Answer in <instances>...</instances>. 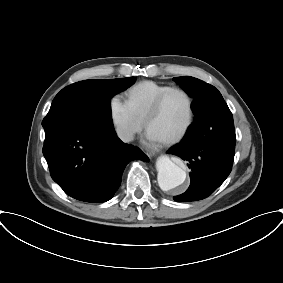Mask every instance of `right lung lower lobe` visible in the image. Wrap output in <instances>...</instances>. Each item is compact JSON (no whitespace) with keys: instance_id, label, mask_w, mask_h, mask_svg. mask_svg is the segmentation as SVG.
<instances>
[{"instance_id":"1","label":"right lung lower lobe","mask_w":283,"mask_h":283,"mask_svg":"<svg viewBox=\"0 0 283 283\" xmlns=\"http://www.w3.org/2000/svg\"><path fill=\"white\" fill-rule=\"evenodd\" d=\"M43 154L52 179L80 201L110 200L121 185L125 166L148 157L123 143L113 128L62 126L45 133Z\"/></svg>"}]
</instances>
